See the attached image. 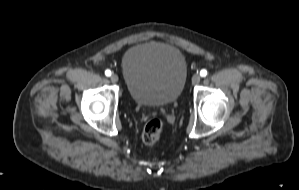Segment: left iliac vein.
I'll return each instance as SVG.
<instances>
[{
  "mask_svg": "<svg viewBox=\"0 0 299 190\" xmlns=\"http://www.w3.org/2000/svg\"><path fill=\"white\" fill-rule=\"evenodd\" d=\"M200 80H201L200 75L196 73L192 77V84L196 85V84H198L200 82Z\"/></svg>",
  "mask_w": 299,
  "mask_h": 190,
  "instance_id": "4c4485c4",
  "label": "left iliac vein"
}]
</instances>
